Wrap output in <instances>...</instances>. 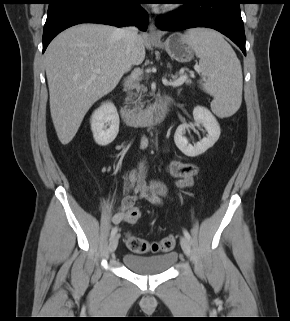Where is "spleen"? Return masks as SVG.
<instances>
[{"label":"spleen","mask_w":290,"mask_h":321,"mask_svg":"<svg viewBox=\"0 0 290 321\" xmlns=\"http://www.w3.org/2000/svg\"><path fill=\"white\" fill-rule=\"evenodd\" d=\"M184 38L200 58L199 70L204 77L203 89L214 97L212 111L219 117L233 115L242 102L243 77L239 59L218 32L195 28Z\"/></svg>","instance_id":"obj_1"}]
</instances>
